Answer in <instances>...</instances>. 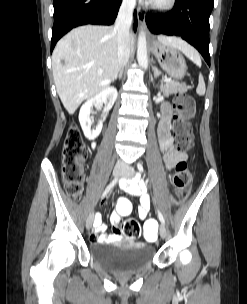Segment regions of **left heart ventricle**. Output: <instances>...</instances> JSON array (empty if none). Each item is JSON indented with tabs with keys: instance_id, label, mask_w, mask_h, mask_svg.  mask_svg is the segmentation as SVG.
Listing matches in <instances>:
<instances>
[{
	"instance_id": "obj_1",
	"label": "left heart ventricle",
	"mask_w": 247,
	"mask_h": 304,
	"mask_svg": "<svg viewBox=\"0 0 247 304\" xmlns=\"http://www.w3.org/2000/svg\"><path fill=\"white\" fill-rule=\"evenodd\" d=\"M154 1H163V0H154Z\"/></svg>"
}]
</instances>
